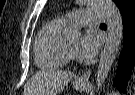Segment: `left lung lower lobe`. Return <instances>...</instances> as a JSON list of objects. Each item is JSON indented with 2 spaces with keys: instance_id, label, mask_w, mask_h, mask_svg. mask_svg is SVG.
<instances>
[{
  "instance_id": "1",
  "label": "left lung lower lobe",
  "mask_w": 135,
  "mask_h": 95,
  "mask_svg": "<svg viewBox=\"0 0 135 95\" xmlns=\"http://www.w3.org/2000/svg\"><path fill=\"white\" fill-rule=\"evenodd\" d=\"M122 15L124 43L118 59L117 73L113 85L125 91L126 81L135 64V5Z\"/></svg>"
}]
</instances>
